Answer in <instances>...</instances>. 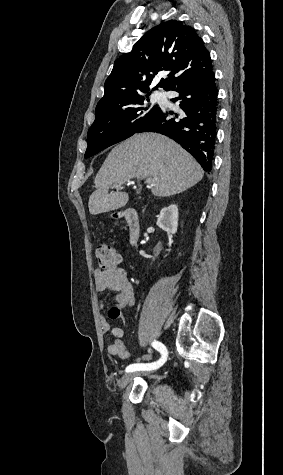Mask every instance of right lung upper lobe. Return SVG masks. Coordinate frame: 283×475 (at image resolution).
<instances>
[{
    "instance_id": "1",
    "label": "right lung upper lobe",
    "mask_w": 283,
    "mask_h": 475,
    "mask_svg": "<svg viewBox=\"0 0 283 475\" xmlns=\"http://www.w3.org/2000/svg\"><path fill=\"white\" fill-rule=\"evenodd\" d=\"M211 70L209 52L196 31L182 22L169 20L149 30L131 52L115 61L97 107L147 93L158 74L169 72L152 90L161 87L170 91L179 82Z\"/></svg>"
}]
</instances>
